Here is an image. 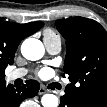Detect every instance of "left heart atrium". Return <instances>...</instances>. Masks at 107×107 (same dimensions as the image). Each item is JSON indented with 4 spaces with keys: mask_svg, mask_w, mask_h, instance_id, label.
Masks as SVG:
<instances>
[{
    "mask_svg": "<svg viewBox=\"0 0 107 107\" xmlns=\"http://www.w3.org/2000/svg\"><path fill=\"white\" fill-rule=\"evenodd\" d=\"M50 73H51L50 69L45 67V68H42V69L39 70L38 75L41 78H46L50 75Z\"/></svg>",
    "mask_w": 107,
    "mask_h": 107,
    "instance_id": "obj_1",
    "label": "left heart atrium"
}]
</instances>
